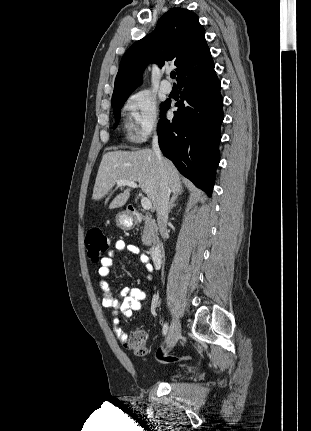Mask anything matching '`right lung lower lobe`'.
<instances>
[{
    "instance_id": "right-lung-lower-lobe-1",
    "label": "right lung lower lobe",
    "mask_w": 311,
    "mask_h": 431,
    "mask_svg": "<svg viewBox=\"0 0 311 431\" xmlns=\"http://www.w3.org/2000/svg\"><path fill=\"white\" fill-rule=\"evenodd\" d=\"M221 83L213 66L179 85L181 101L169 121L170 102L161 110L159 146L185 177L211 196L219 163L218 145L223 121Z\"/></svg>"
}]
</instances>
